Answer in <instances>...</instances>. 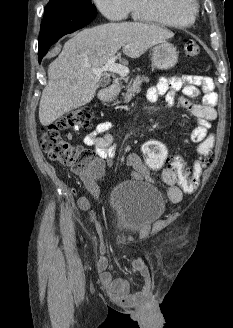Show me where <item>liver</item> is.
I'll return each mask as SVG.
<instances>
[{
	"label": "liver",
	"mask_w": 233,
	"mask_h": 328,
	"mask_svg": "<svg viewBox=\"0 0 233 328\" xmlns=\"http://www.w3.org/2000/svg\"><path fill=\"white\" fill-rule=\"evenodd\" d=\"M173 36L174 33L164 27L141 22H111L75 34L48 67V84L39 105L41 124L50 125L69 111L89 103L100 86V75L92 69L104 66L121 47L125 55L136 59Z\"/></svg>",
	"instance_id": "liver-1"
}]
</instances>
